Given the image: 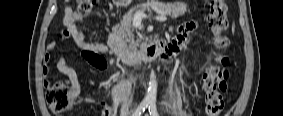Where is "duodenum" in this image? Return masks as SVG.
<instances>
[{"label": "duodenum", "mask_w": 283, "mask_h": 116, "mask_svg": "<svg viewBox=\"0 0 283 116\" xmlns=\"http://www.w3.org/2000/svg\"><path fill=\"white\" fill-rule=\"evenodd\" d=\"M109 45L112 52L129 65H135L140 62H151L161 54L163 49V43L159 41L137 51H123L113 41H111ZM166 61L170 62L171 57H168ZM132 86H133L132 78L126 79L121 83L122 90L124 91L130 90Z\"/></svg>", "instance_id": "410a0bca"}]
</instances>
